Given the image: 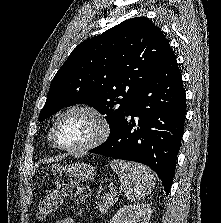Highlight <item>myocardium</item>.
<instances>
[{
    "mask_svg": "<svg viewBox=\"0 0 221 223\" xmlns=\"http://www.w3.org/2000/svg\"><path fill=\"white\" fill-rule=\"evenodd\" d=\"M76 111L85 112V113L90 114L92 117H94L98 123V131L95 134V136L91 140L86 142L85 144H82L80 146H63L58 142L56 138L58 125L65 115L71 112H76ZM110 131H111V127H110V123L108 119L98 109L90 105H73L63 110L57 116L51 129L50 139L53 145L59 150L67 151V152H83V151L91 150L101 145L108 138Z\"/></svg>",
    "mask_w": 221,
    "mask_h": 223,
    "instance_id": "obj_1",
    "label": "myocardium"
}]
</instances>
